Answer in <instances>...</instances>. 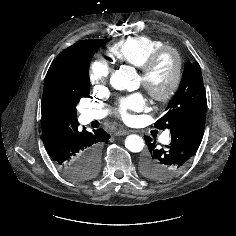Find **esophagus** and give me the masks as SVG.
Segmentation results:
<instances>
[{"label": "esophagus", "instance_id": "obj_1", "mask_svg": "<svg viewBox=\"0 0 236 236\" xmlns=\"http://www.w3.org/2000/svg\"><path fill=\"white\" fill-rule=\"evenodd\" d=\"M116 136H123L129 134V131L124 129H118L115 133Z\"/></svg>", "mask_w": 236, "mask_h": 236}]
</instances>
